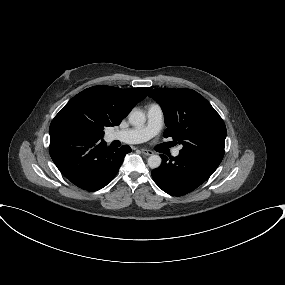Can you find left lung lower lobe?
<instances>
[{
    "label": "left lung lower lobe",
    "instance_id": "0a47b994",
    "mask_svg": "<svg viewBox=\"0 0 285 285\" xmlns=\"http://www.w3.org/2000/svg\"><path fill=\"white\" fill-rule=\"evenodd\" d=\"M163 160L160 168L152 172L155 183L166 193L173 196L185 195L204 183L217 169L219 160L181 152L170 160L161 155Z\"/></svg>",
    "mask_w": 285,
    "mask_h": 285
}]
</instances>
